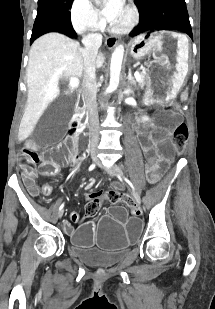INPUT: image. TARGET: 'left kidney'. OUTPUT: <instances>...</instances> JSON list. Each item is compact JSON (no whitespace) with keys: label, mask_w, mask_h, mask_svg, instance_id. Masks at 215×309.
<instances>
[{"label":"left kidney","mask_w":215,"mask_h":309,"mask_svg":"<svg viewBox=\"0 0 215 309\" xmlns=\"http://www.w3.org/2000/svg\"><path fill=\"white\" fill-rule=\"evenodd\" d=\"M143 120H149L148 116H142Z\"/></svg>","instance_id":"1"}]
</instances>
